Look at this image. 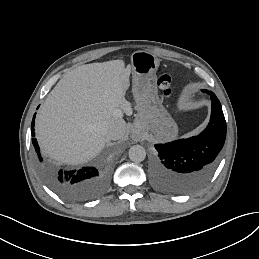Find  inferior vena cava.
<instances>
[{
	"mask_svg": "<svg viewBox=\"0 0 259 259\" xmlns=\"http://www.w3.org/2000/svg\"><path fill=\"white\" fill-rule=\"evenodd\" d=\"M99 131L109 140L122 139L126 133V123L120 118L102 122Z\"/></svg>",
	"mask_w": 259,
	"mask_h": 259,
	"instance_id": "obj_1",
	"label": "inferior vena cava"
}]
</instances>
